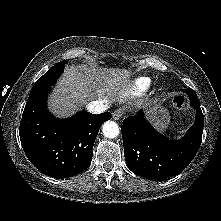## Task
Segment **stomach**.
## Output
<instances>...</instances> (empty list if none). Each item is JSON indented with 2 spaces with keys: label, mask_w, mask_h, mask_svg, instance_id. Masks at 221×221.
Returning a JSON list of instances; mask_svg holds the SVG:
<instances>
[{
  "label": "stomach",
  "mask_w": 221,
  "mask_h": 221,
  "mask_svg": "<svg viewBox=\"0 0 221 221\" xmlns=\"http://www.w3.org/2000/svg\"><path fill=\"white\" fill-rule=\"evenodd\" d=\"M148 119L160 132L165 131L170 122L169 112L161 106L150 110L148 113Z\"/></svg>",
  "instance_id": "1"
}]
</instances>
